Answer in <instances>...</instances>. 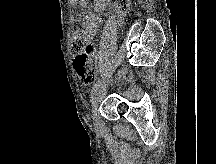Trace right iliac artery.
Masks as SVG:
<instances>
[{
  "label": "right iliac artery",
  "instance_id": "obj_1",
  "mask_svg": "<svg viewBox=\"0 0 216 164\" xmlns=\"http://www.w3.org/2000/svg\"><path fill=\"white\" fill-rule=\"evenodd\" d=\"M100 86V81L98 80L92 87V90H91V98H93V95L95 94V92L98 90Z\"/></svg>",
  "mask_w": 216,
  "mask_h": 164
}]
</instances>
